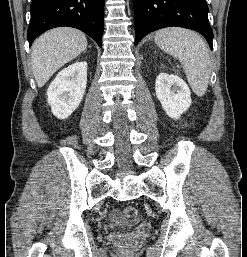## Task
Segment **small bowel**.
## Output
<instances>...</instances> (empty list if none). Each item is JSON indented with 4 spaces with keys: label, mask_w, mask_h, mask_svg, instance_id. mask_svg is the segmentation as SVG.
Masks as SVG:
<instances>
[{
    "label": "small bowel",
    "mask_w": 247,
    "mask_h": 257,
    "mask_svg": "<svg viewBox=\"0 0 247 257\" xmlns=\"http://www.w3.org/2000/svg\"><path fill=\"white\" fill-rule=\"evenodd\" d=\"M111 218L117 224H122L123 223V220L121 219V217L116 212L112 213Z\"/></svg>",
    "instance_id": "1"
}]
</instances>
